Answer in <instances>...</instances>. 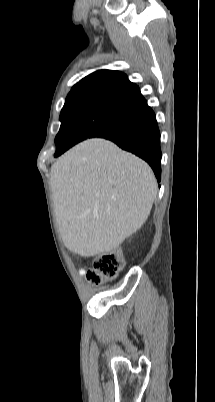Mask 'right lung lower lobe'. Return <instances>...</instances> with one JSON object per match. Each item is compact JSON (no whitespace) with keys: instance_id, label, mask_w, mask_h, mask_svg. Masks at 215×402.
<instances>
[{"instance_id":"98d812e1","label":"right lung lower lobe","mask_w":215,"mask_h":402,"mask_svg":"<svg viewBox=\"0 0 215 402\" xmlns=\"http://www.w3.org/2000/svg\"><path fill=\"white\" fill-rule=\"evenodd\" d=\"M111 140L123 150L145 160L153 169L158 181L161 179L160 131L152 109H144L124 128L103 137Z\"/></svg>"}]
</instances>
